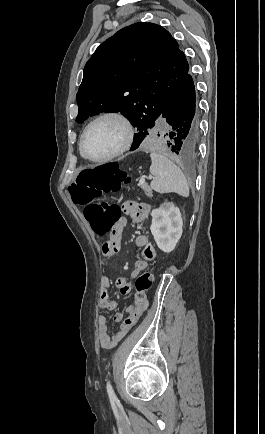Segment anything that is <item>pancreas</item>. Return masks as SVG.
I'll return each mask as SVG.
<instances>
[{
	"label": "pancreas",
	"instance_id": "cf45deb5",
	"mask_svg": "<svg viewBox=\"0 0 265 434\" xmlns=\"http://www.w3.org/2000/svg\"><path fill=\"white\" fill-rule=\"evenodd\" d=\"M140 188H142V190H144L146 196H150V198H152V190H151L150 186H148V184H142V186H140Z\"/></svg>",
	"mask_w": 265,
	"mask_h": 434
}]
</instances>
